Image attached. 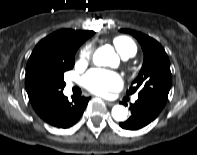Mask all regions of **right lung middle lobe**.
Instances as JSON below:
<instances>
[{
    "mask_svg": "<svg viewBox=\"0 0 197 155\" xmlns=\"http://www.w3.org/2000/svg\"><path fill=\"white\" fill-rule=\"evenodd\" d=\"M77 49L38 56L32 63L25 79V85L43 94L63 93L64 72L74 66Z\"/></svg>",
    "mask_w": 197,
    "mask_h": 155,
    "instance_id": "right-lung-middle-lobe-1",
    "label": "right lung middle lobe"
}]
</instances>
